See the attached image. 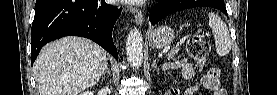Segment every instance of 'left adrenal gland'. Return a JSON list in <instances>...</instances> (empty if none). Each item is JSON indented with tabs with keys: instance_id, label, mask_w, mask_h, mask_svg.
Masks as SVG:
<instances>
[{
	"instance_id": "obj_1",
	"label": "left adrenal gland",
	"mask_w": 277,
	"mask_h": 95,
	"mask_svg": "<svg viewBox=\"0 0 277 95\" xmlns=\"http://www.w3.org/2000/svg\"><path fill=\"white\" fill-rule=\"evenodd\" d=\"M152 67H156V60L153 61Z\"/></svg>"
}]
</instances>
